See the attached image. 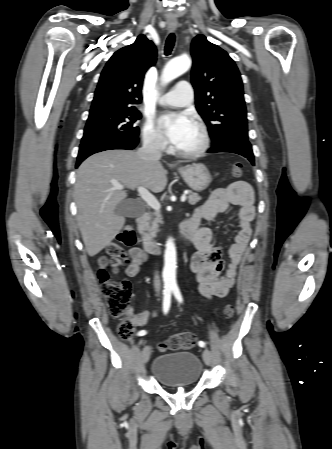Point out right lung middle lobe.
<instances>
[{"mask_svg":"<svg viewBox=\"0 0 332 449\" xmlns=\"http://www.w3.org/2000/svg\"><path fill=\"white\" fill-rule=\"evenodd\" d=\"M140 118L136 108L90 113L81 143L101 138L136 139L139 128L134 123Z\"/></svg>","mask_w":332,"mask_h":449,"instance_id":"right-lung-middle-lobe-1","label":"right lung middle lobe"}]
</instances>
